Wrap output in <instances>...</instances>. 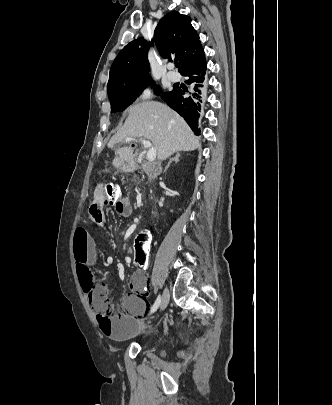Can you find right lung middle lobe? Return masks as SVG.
I'll return each mask as SVG.
<instances>
[{"label":"right lung middle lobe","mask_w":332,"mask_h":405,"mask_svg":"<svg viewBox=\"0 0 332 405\" xmlns=\"http://www.w3.org/2000/svg\"><path fill=\"white\" fill-rule=\"evenodd\" d=\"M152 83L151 77L130 79L109 89L108 96L111 103V113L125 110L136 100L140 92ZM154 88L158 94L161 93L158 86H154Z\"/></svg>","instance_id":"obj_1"}]
</instances>
